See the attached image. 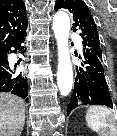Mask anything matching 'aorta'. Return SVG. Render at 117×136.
Returning a JSON list of instances; mask_svg holds the SVG:
<instances>
[{
	"label": "aorta",
	"mask_w": 117,
	"mask_h": 136,
	"mask_svg": "<svg viewBox=\"0 0 117 136\" xmlns=\"http://www.w3.org/2000/svg\"><path fill=\"white\" fill-rule=\"evenodd\" d=\"M53 31L58 47L57 84L61 95L67 96L73 85V69L69 53L70 18L58 11L53 17Z\"/></svg>",
	"instance_id": "1"
}]
</instances>
